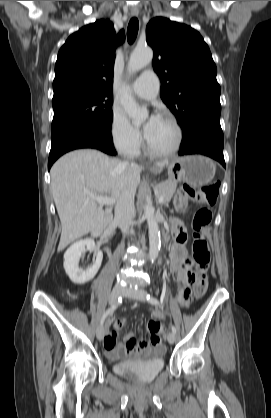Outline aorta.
I'll use <instances>...</instances> for the list:
<instances>
[{
	"label": "aorta",
	"mask_w": 271,
	"mask_h": 418,
	"mask_svg": "<svg viewBox=\"0 0 271 418\" xmlns=\"http://www.w3.org/2000/svg\"><path fill=\"white\" fill-rule=\"evenodd\" d=\"M152 59L153 51L151 48L135 49L129 59V72L134 73L143 69ZM121 104L135 125H140L148 118V111L138 106L128 89H125L122 93ZM144 217L147 220L149 231V258L151 261H154L160 251L161 240L158 224L154 216V208L149 203H146L144 206Z\"/></svg>",
	"instance_id": "aorta-1"
}]
</instances>
